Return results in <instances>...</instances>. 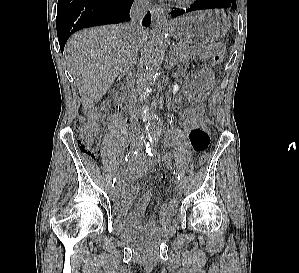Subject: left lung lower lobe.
Instances as JSON below:
<instances>
[{"mask_svg": "<svg viewBox=\"0 0 299 273\" xmlns=\"http://www.w3.org/2000/svg\"><path fill=\"white\" fill-rule=\"evenodd\" d=\"M219 7H230L236 9V0H197L190 8L184 10H173L171 16L176 17L184 14L185 12H191L201 9H213Z\"/></svg>", "mask_w": 299, "mask_h": 273, "instance_id": "0a47b994", "label": "left lung lower lobe"}]
</instances>
